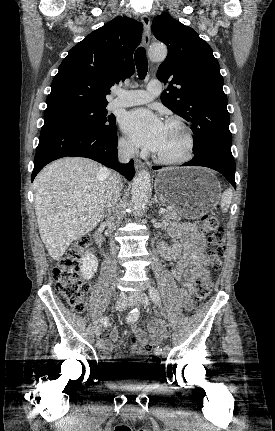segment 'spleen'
I'll return each mask as SVG.
<instances>
[{
    "label": "spleen",
    "instance_id": "3e777b00",
    "mask_svg": "<svg viewBox=\"0 0 275 431\" xmlns=\"http://www.w3.org/2000/svg\"><path fill=\"white\" fill-rule=\"evenodd\" d=\"M232 201V190L226 189L221 196V210L227 212Z\"/></svg>",
    "mask_w": 275,
    "mask_h": 431
}]
</instances>
